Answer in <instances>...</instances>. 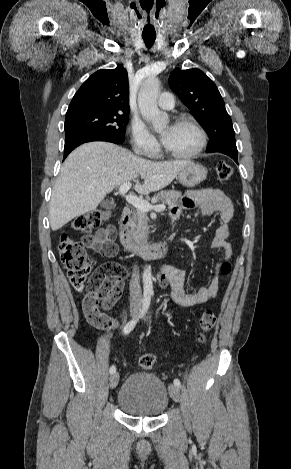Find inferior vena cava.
Wrapping results in <instances>:
<instances>
[{"mask_svg":"<svg viewBox=\"0 0 291 469\" xmlns=\"http://www.w3.org/2000/svg\"><path fill=\"white\" fill-rule=\"evenodd\" d=\"M135 153H139L137 149L134 150ZM130 291V305L133 307H141L142 305V292L140 286L139 272L137 266H134V270L131 276L129 283Z\"/></svg>","mask_w":291,"mask_h":469,"instance_id":"1","label":"inferior vena cava"}]
</instances>
